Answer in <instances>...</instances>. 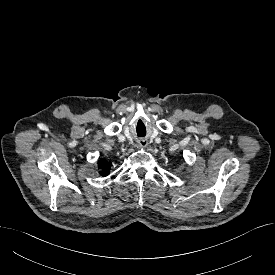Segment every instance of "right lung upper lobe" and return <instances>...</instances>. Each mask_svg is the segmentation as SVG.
Returning a JSON list of instances; mask_svg holds the SVG:
<instances>
[{"label": "right lung upper lobe", "mask_w": 275, "mask_h": 275, "mask_svg": "<svg viewBox=\"0 0 275 275\" xmlns=\"http://www.w3.org/2000/svg\"><path fill=\"white\" fill-rule=\"evenodd\" d=\"M98 166L102 176H107L110 173V163H108L106 160L100 159L98 161Z\"/></svg>", "instance_id": "obj_1"}]
</instances>
